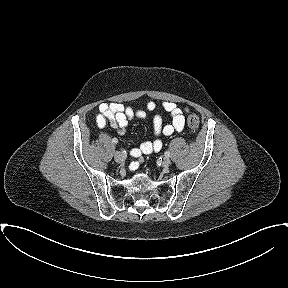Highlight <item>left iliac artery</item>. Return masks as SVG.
Masks as SVG:
<instances>
[{
	"label": "left iliac artery",
	"mask_w": 288,
	"mask_h": 288,
	"mask_svg": "<svg viewBox=\"0 0 288 288\" xmlns=\"http://www.w3.org/2000/svg\"><path fill=\"white\" fill-rule=\"evenodd\" d=\"M165 157H170V152L168 150L165 152Z\"/></svg>",
	"instance_id": "1"
}]
</instances>
